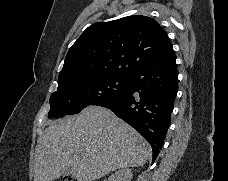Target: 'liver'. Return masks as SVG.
<instances>
[{"label":"liver","instance_id":"6515ba94","mask_svg":"<svg viewBox=\"0 0 228 181\" xmlns=\"http://www.w3.org/2000/svg\"><path fill=\"white\" fill-rule=\"evenodd\" d=\"M151 147L109 109L86 107L49 123L38 139L34 181H54L72 167L76 181H98L117 169L142 167Z\"/></svg>","mask_w":228,"mask_h":181}]
</instances>
